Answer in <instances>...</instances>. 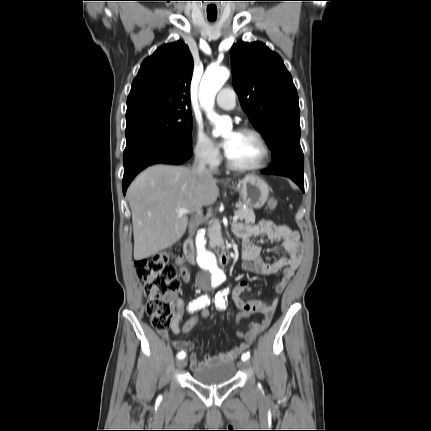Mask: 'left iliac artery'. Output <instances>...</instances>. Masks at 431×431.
<instances>
[{
	"mask_svg": "<svg viewBox=\"0 0 431 431\" xmlns=\"http://www.w3.org/2000/svg\"><path fill=\"white\" fill-rule=\"evenodd\" d=\"M227 294H228V289L224 290L222 293H218L215 296V304L218 308H220V309L226 308L225 298H226ZM224 296H225V298H224ZM249 357H250V353L247 352L246 354L242 355V360L244 361V360L248 359Z\"/></svg>",
	"mask_w": 431,
	"mask_h": 431,
	"instance_id": "1",
	"label": "left iliac artery"
}]
</instances>
